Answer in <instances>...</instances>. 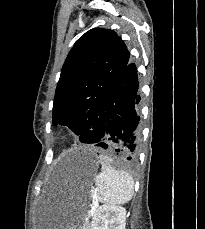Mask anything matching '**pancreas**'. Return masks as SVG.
<instances>
[{
  "instance_id": "pancreas-1",
  "label": "pancreas",
  "mask_w": 205,
  "mask_h": 229,
  "mask_svg": "<svg viewBox=\"0 0 205 229\" xmlns=\"http://www.w3.org/2000/svg\"><path fill=\"white\" fill-rule=\"evenodd\" d=\"M88 226H89V223L87 222V223L85 224V228H84V229H87Z\"/></svg>"
}]
</instances>
